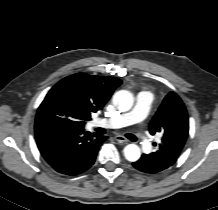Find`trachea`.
Returning <instances> with one entry per match:
<instances>
[{
  "label": "trachea",
  "instance_id": "trachea-1",
  "mask_svg": "<svg viewBox=\"0 0 218 210\" xmlns=\"http://www.w3.org/2000/svg\"><path fill=\"white\" fill-rule=\"evenodd\" d=\"M125 136L128 139H130L131 141H136L137 140V138L133 134H131V133H127Z\"/></svg>",
  "mask_w": 218,
  "mask_h": 210
}]
</instances>
